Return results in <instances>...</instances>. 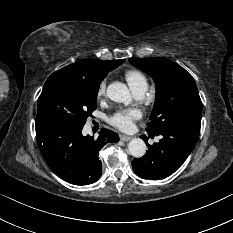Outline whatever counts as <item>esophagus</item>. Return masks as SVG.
<instances>
[{
    "instance_id": "esophagus-1",
    "label": "esophagus",
    "mask_w": 233,
    "mask_h": 233,
    "mask_svg": "<svg viewBox=\"0 0 233 233\" xmlns=\"http://www.w3.org/2000/svg\"><path fill=\"white\" fill-rule=\"evenodd\" d=\"M132 139V137L130 136H126V135H121L120 136V140L124 141V142H128Z\"/></svg>"
}]
</instances>
